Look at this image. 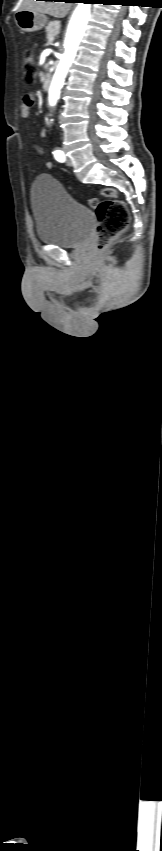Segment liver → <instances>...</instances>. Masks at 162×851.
Here are the masks:
<instances>
[{"instance_id":"obj_1","label":"liver","mask_w":162,"mask_h":851,"mask_svg":"<svg viewBox=\"0 0 162 851\" xmlns=\"http://www.w3.org/2000/svg\"><path fill=\"white\" fill-rule=\"evenodd\" d=\"M19 10H31L40 14H48L56 18H63L70 10L71 4L55 1L20 0Z\"/></svg>"}]
</instances>
